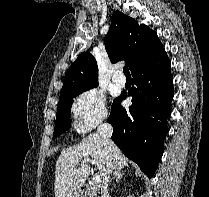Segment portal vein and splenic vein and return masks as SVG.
I'll use <instances>...</instances> for the list:
<instances>
[{"label":"portal vein and splenic vein","mask_w":209,"mask_h":197,"mask_svg":"<svg viewBox=\"0 0 209 197\" xmlns=\"http://www.w3.org/2000/svg\"><path fill=\"white\" fill-rule=\"evenodd\" d=\"M84 163H91V164H94V161L91 160V159H84V160L81 162V164H84ZM93 181H94L95 183H99V182H101V177H100L99 175L95 174V175L93 176Z\"/></svg>","instance_id":"18ae733b"}]
</instances>
